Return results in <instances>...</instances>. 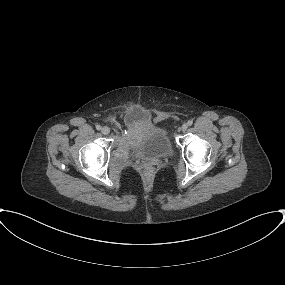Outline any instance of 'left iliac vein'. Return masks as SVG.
Returning a JSON list of instances; mask_svg holds the SVG:
<instances>
[{
    "mask_svg": "<svg viewBox=\"0 0 285 285\" xmlns=\"http://www.w3.org/2000/svg\"><path fill=\"white\" fill-rule=\"evenodd\" d=\"M182 131L185 132L188 129V125L187 124H183L181 127Z\"/></svg>",
    "mask_w": 285,
    "mask_h": 285,
    "instance_id": "4c4485c4",
    "label": "left iliac vein"
}]
</instances>
